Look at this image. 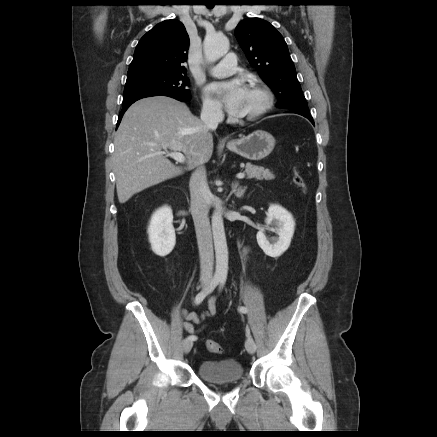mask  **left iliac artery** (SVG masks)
I'll return each mask as SVG.
<instances>
[{"mask_svg":"<svg viewBox=\"0 0 437 437\" xmlns=\"http://www.w3.org/2000/svg\"><path fill=\"white\" fill-rule=\"evenodd\" d=\"M225 282H226V278H225V277H222V278L220 279V290H221V288H223ZM239 311L242 312V313H246V312H247V308L241 306V307H239Z\"/></svg>","mask_w":437,"mask_h":437,"instance_id":"1","label":"left iliac artery"}]
</instances>
